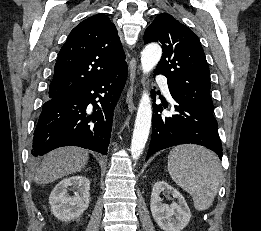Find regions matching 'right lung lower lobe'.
Wrapping results in <instances>:
<instances>
[{"instance_id": "98d812e1", "label": "right lung lower lobe", "mask_w": 261, "mask_h": 231, "mask_svg": "<svg viewBox=\"0 0 261 231\" xmlns=\"http://www.w3.org/2000/svg\"><path fill=\"white\" fill-rule=\"evenodd\" d=\"M126 77L127 65L77 92L45 102L34 131L32 155L70 145L107 154L113 111Z\"/></svg>"}]
</instances>
